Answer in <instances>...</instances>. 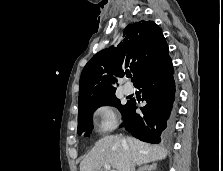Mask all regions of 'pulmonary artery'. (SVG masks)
<instances>
[{"instance_id": "1", "label": "pulmonary artery", "mask_w": 223, "mask_h": 171, "mask_svg": "<svg viewBox=\"0 0 223 171\" xmlns=\"http://www.w3.org/2000/svg\"><path fill=\"white\" fill-rule=\"evenodd\" d=\"M134 92V88L130 84H125L123 86V93L126 95H131Z\"/></svg>"}]
</instances>
